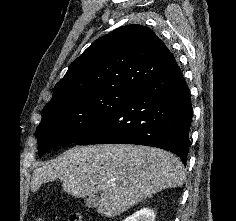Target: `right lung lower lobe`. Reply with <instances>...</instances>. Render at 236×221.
I'll list each match as a JSON object with an SVG mask.
<instances>
[{"mask_svg":"<svg viewBox=\"0 0 236 221\" xmlns=\"http://www.w3.org/2000/svg\"><path fill=\"white\" fill-rule=\"evenodd\" d=\"M189 88L175 63L140 86L76 145L123 143L168 150L184 164L192 120Z\"/></svg>","mask_w":236,"mask_h":221,"instance_id":"right-lung-lower-lobe-1","label":"right lung lower lobe"}]
</instances>
